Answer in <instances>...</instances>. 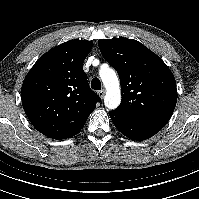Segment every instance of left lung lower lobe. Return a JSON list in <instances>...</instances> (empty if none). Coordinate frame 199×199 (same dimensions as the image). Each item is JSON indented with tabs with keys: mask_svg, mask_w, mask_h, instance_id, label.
<instances>
[{
	"mask_svg": "<svg viewBox=\"0 0 199 199\" xmlns=\"http://www.w3.org/2000/svg\"><path fill=\"white\" fill-rule=\"evenodd\" d=\"M109 115L115 125V127L125 136L130 139L142 141L155 135L157 130L138 124L126 116L116 112L110 111Z\"/></svg>",
	"mask_w": 199,
	"mask_h": 199,
	"instance_id": "left-lung-lower-lobe-1",
	"label": "left lung lower lobe"
}]
</instances>
